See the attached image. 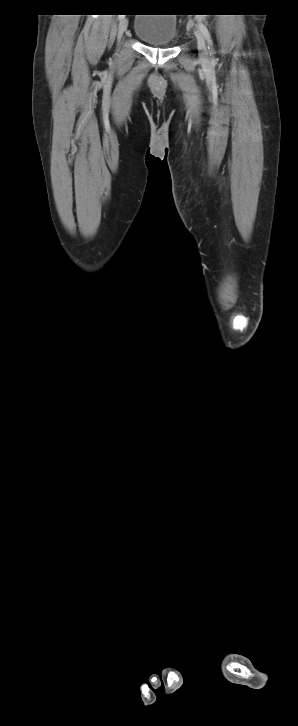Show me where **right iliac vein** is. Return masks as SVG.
Listing matches in <instances>:
<instances>
[{"instance_id":"obj_1","label":"right iliac vein","mask_w":298,"mask_h":726,"mask_svg":"<svg viewBox=\"0 0 298 726\" xmlns=\"http://www.w3.org/2000/svg\"><path fill=\"white\" fill-rule=\"evenodd\" d=\"M128 27V20L126 18H122L118 25V38H121L124 32L126 31Z\"/></svg>"}]
</instances>
